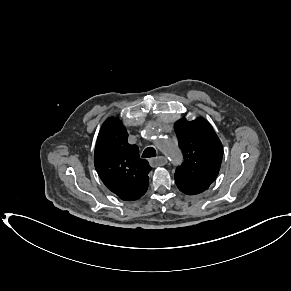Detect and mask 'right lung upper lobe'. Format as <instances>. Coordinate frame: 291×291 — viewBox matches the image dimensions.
<instances>
[{
    "label": "right lung upper lobe",
    "mask_w": 291,
    "mask_h": 291,
    "mask_svg": "<svg viewBox=\"0 0 291 291\" xmlns=\"http://www.w3.org/2000/svg\"><path fill=\"white\" fill-rule=\"evenodd\" d=\"M128 133L118 118L102 125L94 152V165L105 186L122 200H137L149 185L151 167L139 157L136 145L127 142Z\"/></svg>",
    "instance_id": "cb5924a9"
}]
</instances>
